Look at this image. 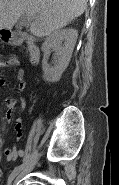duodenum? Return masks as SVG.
<instances>
[{"label": "duodenum", "mask_w": 119, "mask_h": 185, "mask_svg": "<svg viewBox=\"0 0 119 185\" xmlns=\"http://www.w3.org/2000/svg\"><path fill=\"white\" fill-rule=\"evenodd\" d=\"M5 40L12 45H19L25 43L29 51V59L32 64H37L40 59V50L35 44L32 37L26 36L17 31H5Z\"/></svg>", "instance_id": "obj_1"}]
</instances>
